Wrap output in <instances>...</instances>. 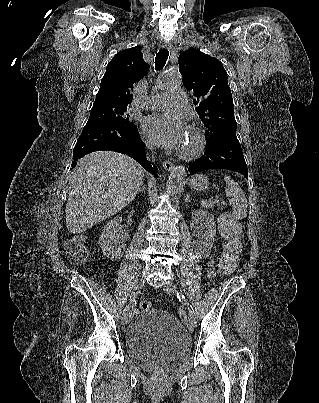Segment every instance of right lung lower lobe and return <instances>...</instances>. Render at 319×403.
<instances>
[{"instance_id": "obj_1", "label": "right lung lower lobe", "mask_w": 319, "mask_h": 403, "mask_svg": "<svg viewBox=\"0 0 319 403\" xmlns=\"http://www.w3.org/2000/svg\"><path fill=\"white\" fill-rule=\"evenodd\" d=\"M99 150L126 154L157 177L158 169L146 159L145 144L136 126L126 127L108 123L86 125L74 147L72 167L76 166V161L81 157Z\"/></svg>"}]
</instances>
